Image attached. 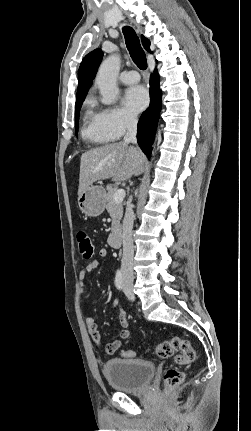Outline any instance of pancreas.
I'll use <instances>...</instances> for the list:
<instances>
[{"label":"pancreas","mask_w":251,"mask_h":431,"mask_svg":"<svg viewBox=\"0 0 251 431\" xmlns=\"http://www.w3.org/2000/svg\"><path fill=\"white\" fill-rule=\"evenodd\" d=\"M106 189L108 192L105 195V201L106 209L112 219L111 231L117 232L121 229L120 221L123 216V203H115L113 201V195L117 191V187H114L113 185L109 184L106 186Z\"/></svg>","instance_id":"1"}]
</instances>
